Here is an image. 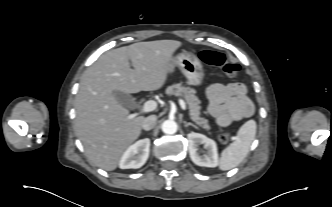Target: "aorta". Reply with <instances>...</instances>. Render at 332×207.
I'll list each match as a JSON object with an SVG mask.
<instances>
[{"mask_svg":"<svg viewBox=\"0 0 332 207\" xmlns=\"http://www.w3.org/2000/svg\"><path fill=\"white\" fill-rule=\"evenodd\" d=\"M162 131L165 134H174L177 131V123L171 119L164 121L162 123Z\"/></svg>","mask_w":332,"mask_h":207,"instance_id":"762f6f07","label":"aorta"}]
</instances>
